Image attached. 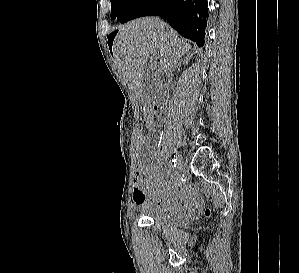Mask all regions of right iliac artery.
<instances>
[{"label": "right iliac artery", "mask_w": 299, "mask_h": 273, "mask_svg": "<svg viewBox=\"0 0 299 273\" xmlns=\"http://www.w3.org/2000/svg\"><path fill=\"white\" fill-rule=\"evenodd\" d=\"M176 167V160L172 159L169 163L170 170H173Z\"/></svg>", "instance_id": "right-iliac-artery-1"}]
</instances>
